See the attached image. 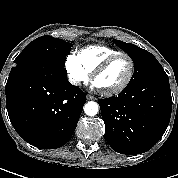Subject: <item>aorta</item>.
<instances>
[{
  "label": "aorta",
  "mask_w": 178,
  "mask_h": 178,
  "mask_svg": "<svg viewBox=\"0 0 178 178\" xmlns=\"http://www.w3.org/2000/svg\"><path fill=\"white\" fill-rule=\"evenodd\" d=\"M99 106L96 102L90 101L85 104L84 112L88 116H95L98 113Z\"/></svg>",
  "instance_id": "aorta-1"
}]
</instances>
